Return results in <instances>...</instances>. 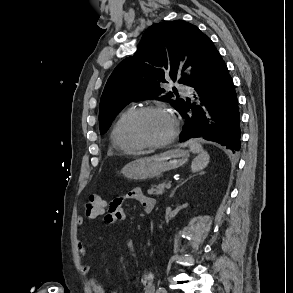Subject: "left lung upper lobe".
Listing matches in <instances>:
<instances>
[{"label":"left lung upper lobe","mask_w":293,"mask_h":293,"mask_svg":"<svg viewBox=\"0 0 293 293\" xmlns=\"http://www.w3.org/2000/svg\"><path fill=\"white\" fill-rule=\"evenodd\" d=\"M209 41L195 25L182 20L150 26L134 55L119 63L106 83L100 101V133H106L116 115L135 100L169 101L178 110L182 99L177 90L163 96L161 85L170 79L187 86L195 84ZM181 63L183 68L179 69ZM187 65L192 67L191 76L184 73ZM174 94L177 98L171 99Z\"/></svg>","instance_id":"obj_1"}]
</instances>
